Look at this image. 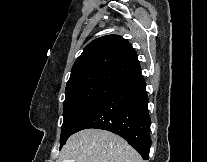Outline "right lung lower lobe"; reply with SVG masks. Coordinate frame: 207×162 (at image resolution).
<instances>
[{"instance_id": "obj_1", "label": "right lung lower lobe", "mask_w": 207, "mask_h": 162, "mask_svg": "<svg viewBox=\"0 0 207 162\" xmlns=\"http://www.w3.org/2000/svg\"><path fill=\"white\" fill-rule=\"evenodd\" d=\"M148 97L143 76L138 74L116 86L74 130L87 128L113 132L136 149L142 158L148 159L150 139V117Z\"/></svg>"}]
</instances>
